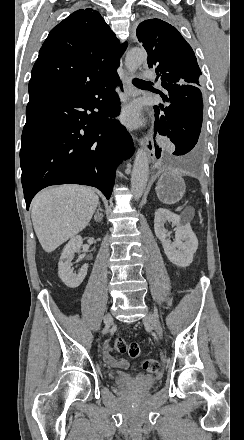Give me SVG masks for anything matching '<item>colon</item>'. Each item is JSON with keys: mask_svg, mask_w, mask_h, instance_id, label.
<instances>
[{"mask_svg": "<svg viewBox=\"0 0 244 440\" xmlns=\"http://www.w3.org/2000/svg\"><path fill=\"white\" fill-rule=\"evenodd\" d=\"M115 354L127 353L131 358H137L141 354V347L138 343H127L124 338L118 337L112 345ZM142 367L149 374H157L160 369L159 361L155 358H144L141 361Z\"/></svg>", "mask_w": 244, "mask_h": 440, "instance_id": "obj_1", "label": "colon"}]
</instances>
